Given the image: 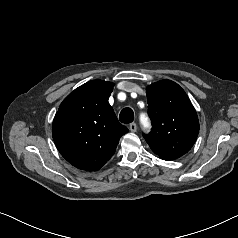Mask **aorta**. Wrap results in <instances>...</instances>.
Returning a JSON list of instances; mask_svg holds the SVG:
<instances>
[{"instance_id":"1","label":"aorta","mask_w":238,"mask_h":238,"mask_svg":"<svg viewBox=\"0 0 238 238\" xmlns=\"http://www.w3.org/2000/svg\"><path fill=\"white\" fill-rule=\"evenodd\" d=\"M142 124L145 126V127H149V122H148V120H147V118L146 117H143L142 118Z\"/></svg>"}]
</instances>
